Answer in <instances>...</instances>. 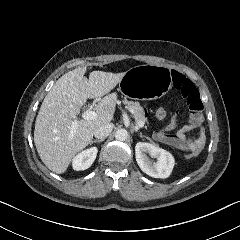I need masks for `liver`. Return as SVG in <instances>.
<instances>
[{"label": "liver", "mask_w": 240, "mask_h": 240, "mask_svg": "<svg viewBox=\"0 0 240 240\" xmlns=\"http://www.w3.org/2000/svg\"><path fill=\"white\" fill-rule=\"evenodd\" d=\"M86 67L62 75L45 96L35 122L34 143L45 166L61 174L76 153L92 141L99 126L110 123L116 102L108 94L121 81L124 73L92 71L87 79ZM105 96L96 106L97 118L77 120L73 136L70 128L87 99Z\"/></svg>", "instance_id": "1"}]
</instances>
